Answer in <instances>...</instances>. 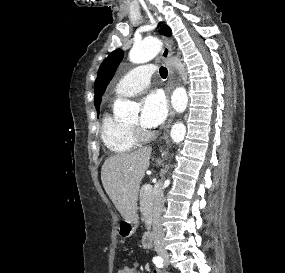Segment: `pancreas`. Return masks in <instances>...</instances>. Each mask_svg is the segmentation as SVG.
Returning <instances> with one entry per match:
<instances>
[{"label":"pancreas","mask_w":285,"mask_h":273,"mask_svg":"<svg viewBox=\"0 0 285 273\" xmlns=\"http://www.w3.org/2000/svg\"><path fill=\"white\" fill-rule=\"evenodd\" d=\"M153 199L154 191L152 188L150 190L140 189V211L144 217L146 227H149L151 223Z\"/></svg>","instance_id":"cf45deb5"}]
</instances>
